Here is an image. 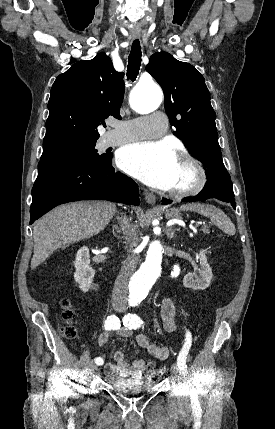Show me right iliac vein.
Masks as SVG:
<instances>
[{
    "mask_svg": "<svg viewBox=\"0 0 275 429\" xmlns=\"http://www.w3.org/2000/svg\"><path fill=\"white\" fill-rule=\"evenodd\" d=\"M115 309L116 310H119L120 309V307L118 306V305H116L115 306ZM89 369H90V372H94L96 369H97V365L95 364V363H91L90 365H89Z\"/></svg>",
    "mask_w": 275,
    "mask_h": 429,
    "instance_id": "63e3f726",
    "label": "right iliac vein"
}]
</instances>
